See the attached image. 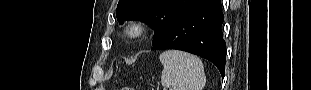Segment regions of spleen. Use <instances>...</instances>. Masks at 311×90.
Wrapping results in <instances>:
<instances>
[{
	"label": "spleen",
	"instance_id": "3e777b00",
	"mask_svg": "<svg viewBox=\"0 0 311 90\" xmlns=\"http://www.w3.org/2000/svg\"><path fill=\"white\" fill-rule=\"evenodd\" d=\"M163 65L161 84L169 90H202L206 76L202 61L195 55L167 50L160 57Z\"/></svg>",
	"mask_w": 311,
	"mask_h": 90
}]
</instances>
